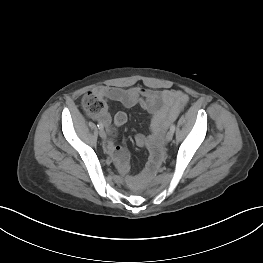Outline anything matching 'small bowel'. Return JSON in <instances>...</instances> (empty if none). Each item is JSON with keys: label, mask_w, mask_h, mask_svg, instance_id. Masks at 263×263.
Here are the masks:
<instances>
[{"label": "small bowel", "mask_w": 263, "mask_h": 263, "mask_svg": "<svg viewBox=\"0 0 263 263\" xmlns=\"http://www.w3.org/2000/svg\"><path fill=\"white\" fill-rule=\"evenodd\" d=\"M92 93L102 99L119 102L126 108L139 105L146 110L151 116V134L137 135L135 143L139 147L146 146L152 151L158 149L168 125L177 118L188 102V96L178 90H154L144 87L123 89L99 86ZM99 120L108 129V138L104 143L105 151L112 157L119 172L126 176L130 183L135 182L137 177L129 175L128 152L115 143V127H120L126 123L127 114L119 111L111 118L105 111Z\"/></svg>", "instance_id": "obj_1"}]
</instances>
